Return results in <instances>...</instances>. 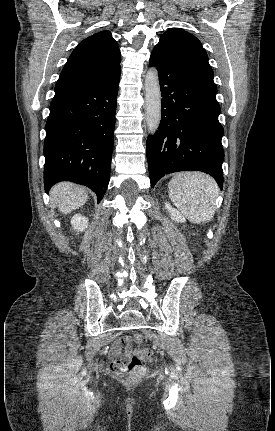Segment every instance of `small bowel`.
<instances>
[{
  "label": "small bowel",
  "instance_id": "small-bowel-1",
  "mask_svg": "<svg viewBox=\"0 0 275 431\" xmlns=\"http://www.w3.org/2000/svg\"><path fill=\"white\" fill-rule=\"evenodd\" d=\"M124 341L122 340H116L109 352V357L112 362V366L117 369H123L124 365L129 359V353L126 351L124 354L121 355V347ZM127 348H129V345L127 344Z\"/></svg>",
  "mask_w": 275,
  "mask_h": 431
}]
</instances>
